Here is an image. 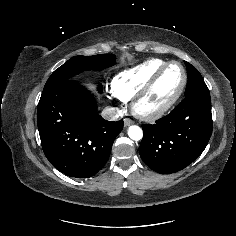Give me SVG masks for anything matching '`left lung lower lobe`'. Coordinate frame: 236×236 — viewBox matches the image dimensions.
Returning a JSON list of instances; mask_svg holds the SVG:
<instances>
[{"label":"left lung lower lobe","instance_id":"obj_1","mask_svg":"<svg viewBox=\"0 0 236 236\" xmlns=\"http://www.w3.org/2000/svg\"><path fill=\"white\" fill-rule=\"evenodd\" d=\"M142 129L139 153L145 164L161 174L184 169L201 155L212 134L209 90L186 96L171 113Z\"/></svg>","mask_w":236,"mask_h":236}]
</instances>
